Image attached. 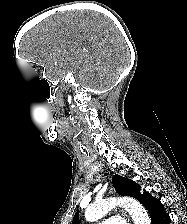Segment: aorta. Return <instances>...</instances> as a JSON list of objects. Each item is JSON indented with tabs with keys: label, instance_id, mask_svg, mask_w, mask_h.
Listing matches in <instances>:
<instances>
[{
	"label": "aorta",
	"instance_id": "762f6f07",
	"mask_svg": "<svg viewBox=\"0 0 187 224\" xmlns=\"http://www.w3.org/2000/svg\"><path fill=\"white\" fill-rule=\"evenodd\" d=\"M117 205L129 212L134 224H150L146 209L133 198H108L89 206L85 211L87 221L93 222L105 216Z\"/></svg>",
	"mask_w": 187,
	"mask_h": 224
}]
</instances>
